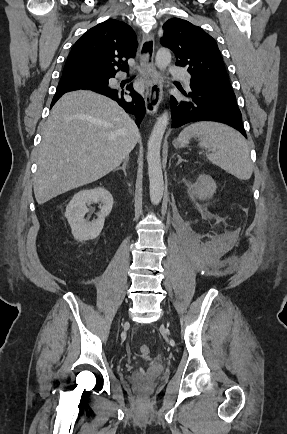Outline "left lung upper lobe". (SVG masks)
Masks as SVG:
<instances>
[{
    "label": "left lung upper lobe",
    "instance_id": "left-lung-upper-lobe-1",
    "mask_svg": "<svg viewBox=\"0 0 287 434\" xmlns=\"http://www.w3.org/2000/svg\"><path fill=\"white\" fill-rule=\"evenodd\" d=\"M161 44L176 56V65L186 67L191 81L223 92L234 93L215 40L203 29L179 19L163 25Z\"/></svg>",
    "mask_w": 287,
    "mask_h": 434
}]
</instances>
